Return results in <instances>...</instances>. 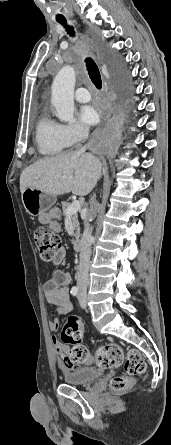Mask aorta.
Returning <instances> with one entry per match:
<instances>
[{"mask_svg":"<svg viewBox=\"0 0 171 445\" xmlns=\"http://www.w3.org/2000/svg\"><path fill=\"white\" fill-rule=\"evenodd\" d=\"M75 70L66 65L57 73L52 84L51 103L62 122L72 123L74 118Z\"/></svg>","mask_w":171,"mask_h":445,"instance_id":"762f6f07","label":"aorta"}]
</instances>
